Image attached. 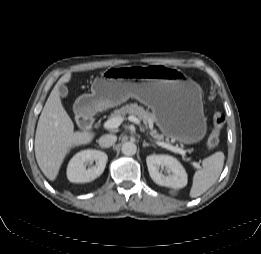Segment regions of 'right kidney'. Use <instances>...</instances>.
Listing matches in <instances>:
<instances>
[{
    "label": "right kidney",
    "instance_id": "1",
    "mask_svg": "<svg viewBox=\"0 0 261 254\" xmlns=\"http://www.w3.org/2000/svg\"><path fill=\"white\" fill-rule=\"evenodd\" d=\"M108 156L99 150H83L70 160L67 167V178L73 183L90 182L99 177L106 166ZM95 161L96 164L86 169L88 162Z\"/></svg>",
    "mask_w": 261,
    "mask_h": 254
}]
</instances>
